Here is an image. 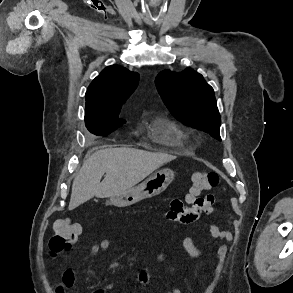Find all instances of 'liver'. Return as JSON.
Listing matches in <instances>:
<instances>
[{"label": "liver", "mask_w": 293, "mask_h": 293, "mask_svg": "<svg viewBox=\"0 0 293 293\" xmlns=\"http://www.w3.org/2000/svg\"><path fill=\"white\" fill-rule=\"evenodd\" d=\"M174 159L176 156L133 148L99 150L84 161L77 173L72 184L69 210L94 196L107 198L123 194ZM104 174V180L100 182Z\"/></svg>", "instance_id": "1"}]
</instances>
